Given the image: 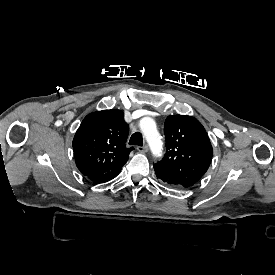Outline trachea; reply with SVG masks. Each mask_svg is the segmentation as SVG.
I'll use <instances>...</instances> for the list:
<instances>
[{
  "instance_id": "obj_1",
  "label": "trachea",
  "mask_w": 275,
  "mask_h": 275,
  "mask_svg": "<svg viewBox=\"0 0 275 275\" xmlns=\"http://www.w3.org/2000/svg\"><path fill=\"white\" fill-rule=\"evenodd\" d=\"M130 145H138V146H143V137L140 132H135L129 141Z\"/></svg>"
}]
</instances>
